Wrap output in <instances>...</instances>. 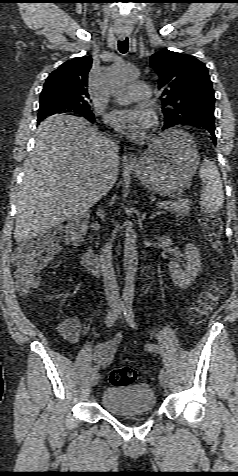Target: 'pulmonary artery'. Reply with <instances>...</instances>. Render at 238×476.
Here are the masks:
<instances>
[{
    "mask_svg": "<svg viewBox=\"0 0 238 476\" xmlns=\"http://www.w3.org/2000/svg\"><path fill=\"white\" fill-rule=\"evenodd\" d=\"M149 96V86L143 82L135 81L117 91L114 95V100L119 104H127L132 101L145 100Z\"/></svg>",
    "mask_w": 238,
    "mask_h": 476,
    "instance_id": "obj_1",
    "label": "pulmonary artery"
}]
</instances>
